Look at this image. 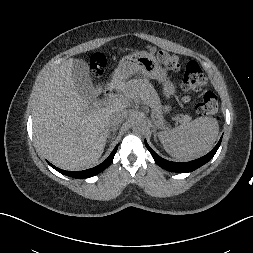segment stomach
<instances>
[{
	"mask_svg": "<svg viewBox=\"0 0 253 253\" xmlns=\"http://www.w3.org/2000/svg\"><path fill=\"white\" fill-rule=\"evenodd\" d=\"M123 70L129 71L131 75L140 73L147 78L158 80L160 83H162L163 93L168 98L175 92L174 84L170 81L167 72L159 65L156 58L150 53L141 51L124 56L120 60L115 74ZM168 110L169 106L164 107L165 113ZM156 118L158 119L156 125L158 127H163L165 124L163 112L159 111L156 114Z\"/></svg>",
	"mask_w": 253,
	"mask_h": 253,
	"instance_id": "stomach-1",
	"label": "stomach"
}]
</instances>
